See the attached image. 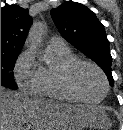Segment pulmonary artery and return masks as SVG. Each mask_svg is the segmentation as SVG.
<instances>
[{"label": "pulmonary artery", "instance_id": "pulmonary-artery-1", "mask_svg": "<svg viewBox=\"0 0 123 130\" xmlns=\"http://www.w3.org/2000/svg\"><path fill=\"white\" fill-rule=\"evenodd\" d=\"M49 45L54 47H65L67 46L65 40L60 36H52L49 40Z\"/></svg>", "mask_w": 123, "mask_h": 130}]
</instances>
